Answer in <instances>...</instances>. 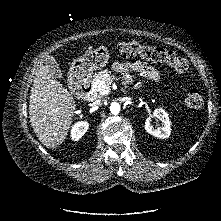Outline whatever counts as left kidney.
<instances>
[{
    "instance_id": "5707ae66",
    "label": "left kidney",
    "mask_w": 221,
    "mask_h": 221,
    "mask_svg": "<svg viewBox=\"0 0 221 221\" xmlns=\"http://www.w3.org/2000/svg\"><path fill=\"white\" fill-rule=\"evenodd\" d=\"M158 118L162 122V127H156L154 128L153 125L151 124L152 118ZM170 120L168 117L167 112L162 109H155L153 116L148 117L145 121V130L150 133L153 136H156L158 138H168L170 133H171V124Z\"/></svg>"
}]
</instances>
